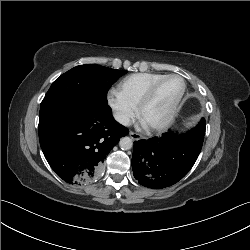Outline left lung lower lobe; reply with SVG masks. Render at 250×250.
<instances>
[{"mask_svg": "<svg viewBox=\"0 0 250 250\" xmlns=\"http://www.w3.org/2000/svg\"><path fill=\"white\" fill-rule=\"evenodd\" d=\"M205 128L202 118L197 127L186 134L176 136L170 131L160 138L135 141L132 168L139 184L165 188L181 180L198 158Z\"/></svg>", "mask_w": 250, "mask_h": 250, "instance_id": "1", "label": "left lung lower lobe"}]
</instances>
